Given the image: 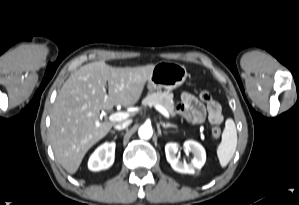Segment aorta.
Wrapping results in <instances>:
<instances>
[{
	"instance_id": "aorta-1",
	"label": "aorta",
	"mask_w": 299,
	"mask_h": 205,
	"mask_svg": "<svg viewBox=\"0 0 299 205\" xmlns=\"http://www.w3.org/2000/svg\"><path fill=\"white\" fill-rule=\"evenodd\" d=\"M139 137L142 139H150L153 135L151 125L144 124L138 130Z\"/></svg>"
}]
</instances>
